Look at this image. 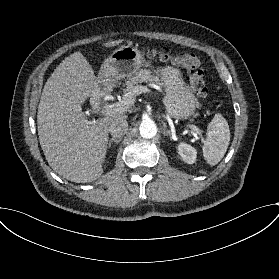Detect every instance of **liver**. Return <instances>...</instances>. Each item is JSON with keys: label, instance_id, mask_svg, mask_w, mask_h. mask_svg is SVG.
<instances>
[{"label": "liver", "instance_id": "6515ba94", "mask_svg": "<svg viewBox=\"0 0 279 279\" xmlns=\"http://www.w3.org/2000/svg\"><path fill=\"white\" fill-rule=\"evenodd\" d=\"M123 40L109 41L114 47ZM107 84L96 77L81 52L66 57L46 81L37 113L39 142L49 166L75 183L95 181L103 173L109 126L126 115L115 113L89 121L81 105Z\"/></svg>", "mask_w": 279, "mask_h": 279}]
</instances>
